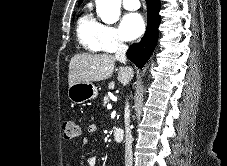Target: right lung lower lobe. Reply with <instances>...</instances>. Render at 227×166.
I'll return each mask as SVG.
<instances>
[{"label":"right lung lower lobe","mask_w":227,"mask_h":166,"mask_svg":"<svg viewBox=\"0 0 227 166\" xmlns=\"http://www.w3.org/2000/svg\"><path fill=\"white\" fill-rule=\"evenodd\" d=\"M147 2V29L139 43H134L127 51V57L139 68L143 67L151 55L158 40V27L160 24L159 0H146Z\"/></svg>","instance_id":"1"}]
</instances>
